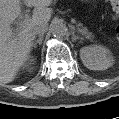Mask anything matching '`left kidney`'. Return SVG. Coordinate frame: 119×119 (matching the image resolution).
<instances>
[{"label":"left kidney","mask_w":119,"mask_h":119,"mask_svg":"<svg viewBox=\"0 0 119 119\" xmlns=\"http://www.w3.org/2000/svg\"><path fill=\"white\" fill-rule=\"evenodd\" d=\"M80 58L90 70H106L113 65L110 51L101 45L85 46L80 49Z\"/></svg>","instance_id":"1"}]
</instances>
